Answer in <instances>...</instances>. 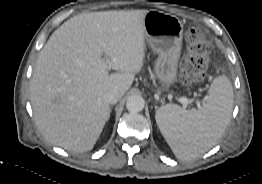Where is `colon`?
Masks as SVG:
<instances>
[{
	"label": "colon",
	"instance_id": "5ec220e1",
	"mask_svg": "<svg viewBox=\"0 0 262 184\" xmlns=\"http://www.w3.org/2000/svg\"><path fill=\"white\" fill-rule=\"evenodd\" d=\"M187 53L180 65V79L185 85L202 82L209 62L210 43L198 28L186 32Z\"/></svg>",
	"mask_w": 262,
	"mask_h": 184
}]
</instances>
